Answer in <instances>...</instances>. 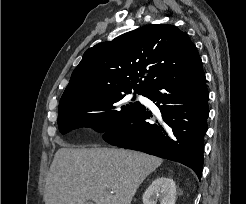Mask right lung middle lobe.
Segmentation results:
<instances>
[{"mask_svg":"<svg viewBox=\"0 0 246 204\" xmlns=\"http://www.w3.org/2000/svg\"><path fill=\"white\" fill-rule=\"evenodd\" d=\"M127 93L86 97L59 106L58 126L62 134L87 127L100 133L114 130L123 125L139 102L126 104Z\"/></svg>","mask_w":246,"mask_h":204,"instance_id":"right-lung-middle-lobe-1","label":"right lung middle lobe"}]
</instances>
